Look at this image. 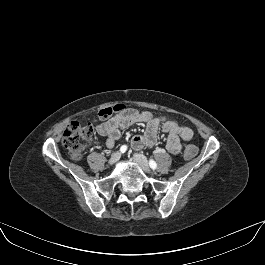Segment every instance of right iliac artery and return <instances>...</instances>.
<instances>
[{
	"mask_svg": "<svg viewBox=\"0 0 265 265\" xmlns=\"http://www.w3.org/2000/svg\"><path fill=\"white\" fill-rule=\"evenodd\" d=\"M126 151H127V146L126 145L121 146L120 152L125 153Z\"/></svg>",
	"mask_w": 265,
	"mask_h": 265,
	"instance_id": "obj_1",
	"label": "right iliac artery"
}]
</instances>
